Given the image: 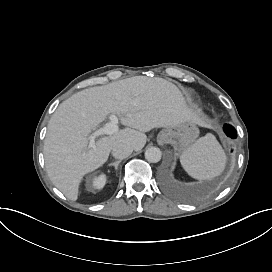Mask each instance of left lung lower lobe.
I'll list each match as a JSON object with an SVG mask.
<instances>
[{"instance_id": "obj_1", "label": "left lung lower lobe", "mask_w": 272, "mask_h": 272, "mask_svg": "<svg viewBox=\"0 0 272 272\" xmlns=\"http://www.w3.org/2000/svg\"><path fill=\"white\" fill-rule=\"evenodd\" d=\"M225 133H226V135L228 137H230L232 139H235L237 137L236 130L233 127L229 126V125L226 126Z\"/></svg>"}]
</instances>
